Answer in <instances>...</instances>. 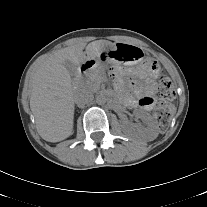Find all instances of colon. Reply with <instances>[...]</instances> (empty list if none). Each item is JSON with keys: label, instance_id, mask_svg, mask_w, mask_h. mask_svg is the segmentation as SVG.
<instances>
[{"label": "colon", "instance_id": "obj_1", "mask_svg": "<svg viewBox=\"0 0 207 207\" xmlns=\"http://www.w3.org/2000/svg\"><path fill=\"white\" fill-rule=\"evenodd\" d=\"M147 65L151 74H158L160 72V65L154 60H149ZM155 95L162 102L156 107L154 116L160 131L165 132L174 113V107L167 101L174 99L176 95L174 86L167 75H160Z\"/></svg>", "mask_w": 207, "mask_h": 207}]
</instances>
